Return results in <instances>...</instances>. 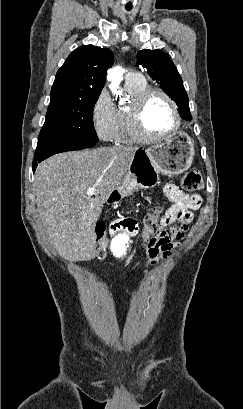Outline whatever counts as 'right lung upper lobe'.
I'll return each instance as SVG.
<instances>
[{
    "instance_id": "right-lung-upper-lobe-1",
    "label": "right lung upper lobe",
    "mask_w": 243,
    "mask_h": 409,
    "mask_svg": "<svg viewBox=\"0 0 243 409\" xmlns=\"http://www.w3.org/2000/svg\"><path fill=\"white\" fill-rule=\"evenodd\" d=\"M112 64L109 49L93 45L77 48L58 70L50 102L97 100Z\"/></svg>"
}]
</instances>
